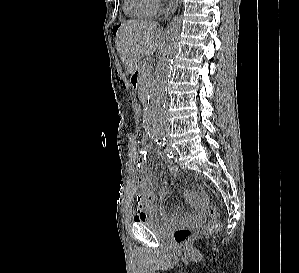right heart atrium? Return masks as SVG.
I'll return each mask as SVG.
<instances>
[{
	"label": "right heart atrium",
	"mask_w": 299,
	"mask_h": 273,
	"mask_svg": "<svg viewBox=\"0 0 299 273\" xmlns=\"http://www.w3.org/2000/svg\"><path fill=\"white\" fill-rule=\"evenodd\" d=\"M145 1L149 6V8L155 11L160 6L162 0H145Z\"/></svg>",
	"instance_id": "1"
}]
</instances>
